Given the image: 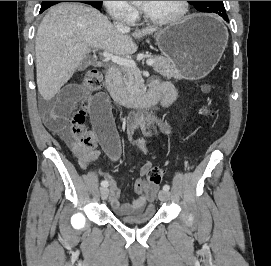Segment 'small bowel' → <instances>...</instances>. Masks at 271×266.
<instances>
[{
  "label": "small bowel",
  "instance_id": "c3829d8e",
  "mask_svg": "<svg viewBox=\"0 0 271 266\" xmlns=\"http://www.w3.org/2000/svg\"><path fill=\"white\" fill-rule=\"evenodd\" d=\"M152 83L158 84V80L154 79ZM161 85L166 95L162 100V106H170L176 99V91L172 84L162 83ZM82 91L77 84H68L63 87L57 95L49 101L41 104L46 124L55 131H62L68 115L74 109L80 98ZM92 130L90 135L96 140L103 150L112 159H117L120 153V139L116 130L112 110L107 98L100 94L94 101L91 114ZM97 156V151L89 152L79 158V164L82 168H87ZM150 163H146L139 170V175L134 182V191L139 197L132 202L121 203L119 200L120 189L116 180L111 176H106L109 186L108 200L115 211L120 214L141 211L148 203H151L156 195L157 188L155 186L146 185L141 176L145 175Z\"/></svg>",
  "mask_w": 271,
  "mask_h": 266
}]
</instances>
